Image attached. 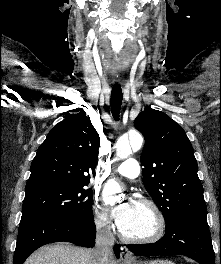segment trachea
Masks as SVG:
<instances>
[{"instance_id":"trachea-1","label":"trachea","mask_w":221,"mask_h":264,"mask_svg":"<svg viewBox=\"0 0 221 264\" xmlns=\"http://www.w3.org/2000/svg\"><path fill=\"white\" fill-rule=\"evenodd\" d=\"M122 89L118 85H114L111 91V112L116 121L119 120L120 109L122 105Z\"/></svg>"}]
</instances>
